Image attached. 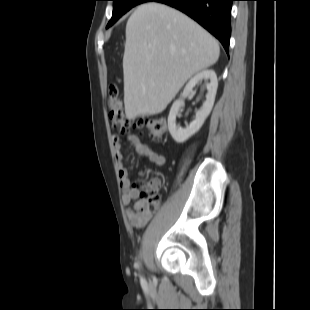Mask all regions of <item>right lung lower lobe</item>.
Masks as SVG:
<instances>
[{
  "label": "right lung lower lobe",
  "instance_id": "98d812e1",
  "mask_svg": "<svg viewBox=\"0 0 310 310\" xmlns=\"http://www.w3.org/2000/svg\"><path fill=\"white\" fill-rule=\"evenodd\" d=\"M174 7L197 21L229 51L231 8L234 0H148Z\"/></svg>",
  "mask_w": 310,
  "mask_h": 310
}]
</instances>
